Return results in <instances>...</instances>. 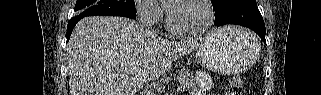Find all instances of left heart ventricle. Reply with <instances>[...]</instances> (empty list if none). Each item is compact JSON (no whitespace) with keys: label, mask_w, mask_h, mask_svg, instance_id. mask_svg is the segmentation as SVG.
Wrapping results in <instances>:
<instances>
[{"label":"left heart ventricle","mask_w":321,"mask_h":95,"mask_svg":"<svg viewBox=\"0 0 321 95\" xmlns=\"http://www.w3.org/2000/svg\"><path fill=\"white\" fill-rule=\"evenodd\" d=\"M173 25L180 30H197L203 27L207 20L205 6L198 1L179 3L171 8Z\"/></svg>","instance_id":"1"}]
</instances>
